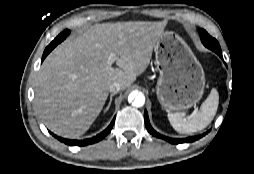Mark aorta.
Instances as JSON below:
<instances>
[{
	"label": "aorta",
	"mask_w": 254,
	"mask_h": 174,
	"mask_svg": "<svg viewBox=\"0 0 254 174\" xmlns=\"http://www.w3.org/2000/svg\"><path fill=\"white\" fill-rule=\"evenodd\" d=\"M128 101L131 102L134 107H142L145 103V96L141 92H132L128 97Z\"/></svg>",
	"instance_id": "obj_1"
}]
</instances>
